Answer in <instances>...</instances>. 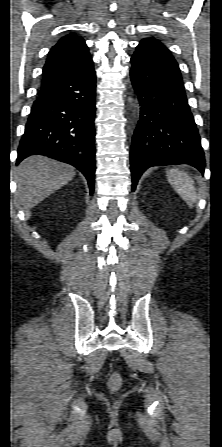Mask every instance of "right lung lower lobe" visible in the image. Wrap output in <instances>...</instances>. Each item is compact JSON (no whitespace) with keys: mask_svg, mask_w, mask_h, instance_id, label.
Segmentation results:
<instances>
[{"mask_svg":"<svg viewBox=\"0 0 222 447\" xmlns=\"http://www.w3.org/2000/svg\"><path fill=\"white\" fill-rule=\"evenodd\" d=\"M96 74L90 58L74 75L39 95L18 148L17 164L32 154L69 163L86 177L95 174Z\"/></svg>","mask_w":222,"mask_h":447,"instance_id":"right-lung-lower-lobe-1","label":"right lung lower lobe"}]
</instances>
